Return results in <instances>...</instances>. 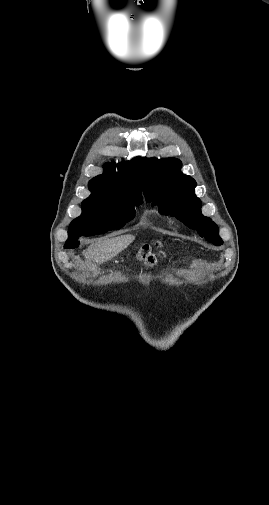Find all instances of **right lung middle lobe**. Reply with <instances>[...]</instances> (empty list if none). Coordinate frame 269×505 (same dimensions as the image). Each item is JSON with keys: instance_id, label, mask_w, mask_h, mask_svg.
Segmentation results:
<instances>
[{"instance_id": "obj_1", "label": "right lung middle lobe", "mask_w": 269, "mask_h": 505, "mask_svg": "<svg viewBox=\"0 0 269 505\" xmlns=\"http://www.w3.org/2000/svg\"><path fill=\"white\" fill-rule=\"evenodd\" d=\"M142 203L137 199H85L81 216L70 224L64 247H78L79 236H93L122 228L134 217V206Z\"/></svg>"}]
</instances>
